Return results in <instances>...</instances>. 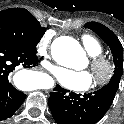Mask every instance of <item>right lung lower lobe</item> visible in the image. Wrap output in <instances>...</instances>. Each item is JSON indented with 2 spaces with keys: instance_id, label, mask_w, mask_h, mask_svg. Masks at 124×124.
Segmentation results:
<instances>
[{
  "instance_id": "98d812e1",
  "label": "right lung lower lobe",
  "mask_w": 124,
  "mask_h": 124,
  "mask_svg": "<svg viewBox=\"0 0 124 124\" xmlns=\"http://www.w3.org/2000/svg\"><path fill=\"white\" fill-rule=\"evenodd\" d=\"M37 64L36 51L0 42V121L12 116L26 98L9 82L11 73L18 66L29 68Z\"/></svg>"
}]
</instances>
